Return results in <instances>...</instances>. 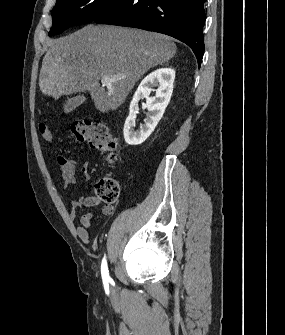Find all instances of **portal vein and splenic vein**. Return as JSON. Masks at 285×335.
Returning a JSON list of instances; mask_svg holds the SVG:
<instances>
[{
  "label": "portal vein and splenic vein",
  "mask_w": 285,
  "mask_h": 335,
  "mask_svg": "<svg viewBox=\"0 0 285 335\" xmlns=\"http://www.w3.org/2000/svg\"><path fill=\"white\" fill-rule=\"evenodd\" d=\"M126 78V74H117V76H102L101 84L106 86V84H111V82H117V80H123Z\"/></svg>",
  "instance_id": "1"
}]
</instances>
